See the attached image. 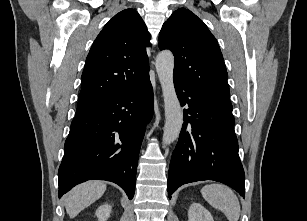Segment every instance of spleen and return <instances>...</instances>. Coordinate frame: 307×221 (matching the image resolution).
Returning <instances> with one entry per match:
<instances>
[{
	"instance_id": "1",
	"label": "spleen",
	"mask_w": 307,
	"mask_h": 221,
	"mask_svg": "<svg viewBox=\"0 0 307 221\" xmlns=\"http://www.w3.org/2000/svg\"><path fill=\"white\" fill-rule=\"evenodd\" d=\"M204 199L214 208L221 210L229 221H238L240 203L233 190L223 184H209L201 189Z\"/></svg>"
}]
</instances>
